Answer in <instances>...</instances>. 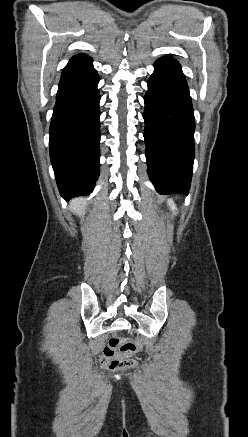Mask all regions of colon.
I'll return each mask as SVG.
<instances>
[{"label": "colon", "instance_id": "obj_1", "mask_svg": "<svg viewBox=\"0 0 248 437\" xmlns=\"http://www.w3.org/2000/svg\"><path fill=\"white\" fill-rule=\"evenodd\" d=\"M141 350V344L136 339H121L112 337L103 350L101 364L110 370H128L136 366L132 357Z\"/></svg>", "mask_w": 248, "mask_h": 437}]
</instances>
